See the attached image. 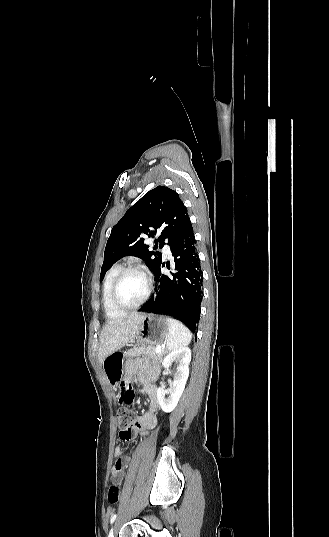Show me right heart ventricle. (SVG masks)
<instances>
[{
    "mask_svg": "<svg viewBox=\"0 0 329 537\" xmlns=\"http://www.w3.org/2000/svg\"><path fill=\"white\" fill-rule=\"evenodd\" d=\"M121 265L116 263L114 264L106 273L101 292V302L103 309L109 318H117L123 315V311L117 309L111 301V289L115 277L118 272L121 270Z\"/></svg>",
    "mask_w": 329,
    "mask_h": 537,
    "instance_id": "e07e8e85",
    "label": "right heart ventricle"
}]
</instances>
